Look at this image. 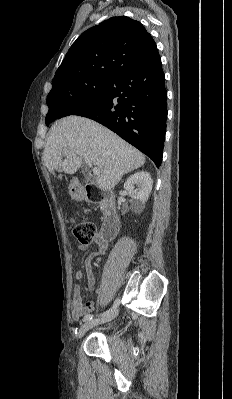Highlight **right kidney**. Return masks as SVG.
<instances>
[{
	"label": "right kidney",
	"instance_id": "1",
	"mask_svg": "<svg viewBox=\"0 0 232 399\" xmlns=\"http://www.w3.org/2000/svg\"><path fill=\"white\" fill-rule=\"evenodd\" d=\"M153 180L148 172H136L133 176H130L124 184V190L132 198L133 207L143 209L146 201L149 198V194L152 190ZM136 188V190H135Z\"/></svg>",
	"mask_w": 232,
	"mask_h": 399
}]
</instances>
